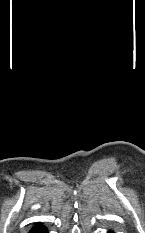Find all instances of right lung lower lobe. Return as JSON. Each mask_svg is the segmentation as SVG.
<instances>
[{
	"label": "right lung lower lobe",
	"instance_id": "98d812e1",
	"mask_svg": "<svg viewBox=\"0 0 145 233\" xmlns=\"http://www.w3.org/2000/svg\"><path fill=\"white\" fill-rule=\"evenodd\" d=\"M29 233H48V229L42 223H36Z\"/></svg>",
	"mask_w": 145,
	"mask_h": 233
}]
</instances>
